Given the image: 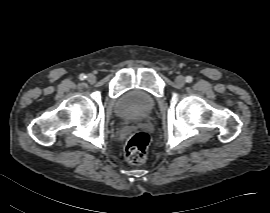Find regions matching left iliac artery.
I'll return each mask as SVG.
<instances>
[{"label":"left iliac artery","mask_w":270,"mask_h":213,"mask_svg":"<svg viewBox=\"0 0 270 213\" xmlns=\"http://www.w3.org/2000/svg\"><path fill=\"white\" fill-rule=\"evenodd\" d=\"M193 81V78L191 76L186 77V82L190 83Z\"/></svg>","instance_id":"44dca946"}]
</instances>
